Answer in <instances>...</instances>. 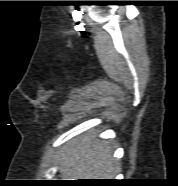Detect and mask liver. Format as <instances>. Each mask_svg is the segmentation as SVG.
Returning a JSON list of instances; mask_svg holds the SVG:
<instances>
[{
    "mask_svg": "<svg viewBox=\"0 0 178 186\" xmlns=\"http://www.w3.org/2000/svg\"><path fill=\"white\" fill-rule=\"evenodd\" d=\"M117 171L109 143L97 140L96 135L71 140L59 158L63 180L112 179Z\"/></svg>",
    "mask_w": 178,
    "mask_h": 186,
    "instance_id": "obj_1",
    "label": "liver"
}]
</instances>
